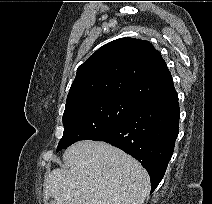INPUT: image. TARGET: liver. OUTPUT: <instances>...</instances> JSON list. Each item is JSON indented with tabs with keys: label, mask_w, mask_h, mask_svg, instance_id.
Returning a JSON list of instances; mask_svg holds the SVG:
<instances>
[{
	"label": "liver",
	"mask_w": 212,
	"mask_h": 204,
	"mask_svg": "<svg viewBox=\"0 0 212 204\" xmlns=\"http://www.w3.org/2000/svg\"><path fill=\"white\" fill-rule=\"evenodd\" d=\"M63 161L69 170L48 174L45 202L54 198L56 204H143L149 192L150 178L142 165L108 143L76 142L66 149Z\"/></svg>",
	"instance_id": "liver-1"
}]
</instances>
